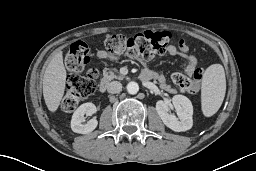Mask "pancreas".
I'll use <instances>...</instances> for the list:
<instances>
[{"instance_id":"cf45deb5","label":"pancreas","mask_w":256,"mask_h":171,"mask_svg":"<svg viewBox=\"0 0 256 171\" xmlns=\"http://www.w3.org/2000/svg\"><path fill=\"white\" fill-rule=\"evenodd\" d=\"M123 78H124V76L116 74L114 71H112V69L105 68V69L103 70V78H102V81H104V82L110 81V80H112V79H119V80H122Z\"/></svg>"}]
</instances>
